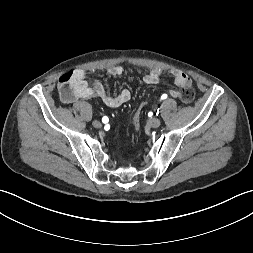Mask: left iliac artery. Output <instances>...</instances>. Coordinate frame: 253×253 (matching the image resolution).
Wrapping results in <instances>:
<instances>
[{"mask_svg":"<svg viewBox=\"0 0 253 253\" xmlns=\"http://www.w3.org/2000/svg\"><path fill=\"white\" fill-rule=\"evenodd\" d=\"M167 98V95L166 94H163L162 96H161V99L163 100V99H166Z\"/></svg>","mask_w":253,"mask_h":253,"instance_id":"44dca946","label":"left iliac artery"}]
</instances>
